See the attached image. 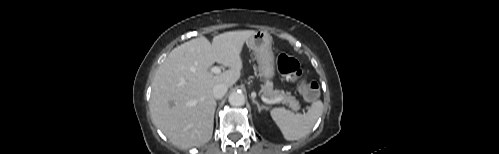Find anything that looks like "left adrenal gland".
Instances as JSON below:
<instances>
[{"instance_id": "obj_1", "label": "left adrenal gland", "mask_w": 499, "mask_h": 154, "mask_svg": "<svg viewBox=\"0 0 499 154\" xmlns=\"http://www.w3.org/2000/svg\"><path fill=\"white\" fill-rule=\"evenodd\" d=\"M252 102L257 105V108H258L259 112H261L264 109L265 110L267 109V107H265V106H260V104L254 98H252Z\"/></svg>"}]
</instances>
